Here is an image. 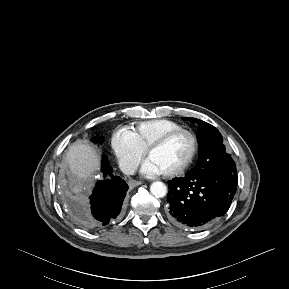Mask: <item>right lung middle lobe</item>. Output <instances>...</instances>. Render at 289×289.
<instances>
[{
	"mask_svg": "<svg viewBox=\"0 0 289 289\" xmlns=\"http://www.w3.org/2000/svg\"><path fill=\"white\" fill-rule=\"evenodd\" d=\"M91 141L95 142V143H98V144H102L104 142V137H99V136H96V137H93L91 139Z\"/></svg>",
	"mask_w": 289,
	"mask_h": 289,
	"instance_id": "obj_1",
	"label": "right lung middle lobe"
}]
</instances>
